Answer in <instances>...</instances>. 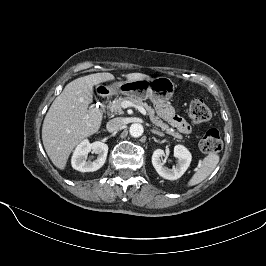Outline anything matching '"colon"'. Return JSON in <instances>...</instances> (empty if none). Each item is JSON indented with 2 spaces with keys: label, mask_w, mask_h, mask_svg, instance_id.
Wrapping results in <instances>:
<instances>
[{
  "label": "colon",
  "mask_w": 266,
  "mask_h": 266,
  "mask_svg": "<svg viewBox=\"0 0 266 266\" xmlns=\"http://www.w3.org/2000/svg\"><path fill=\"white\" fill-rule=\"evenodd\" d=\"M189 117L196 123L201 124L210 120L211 110L201 99H194L189 105ZM200 149L204 153L218 152L222 148V140L217 129L211 128L202 136Z\"/></svg>",
  "instance_id": "obj_1"
}]
</instances>
